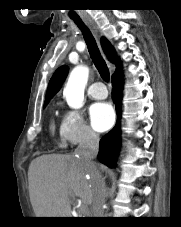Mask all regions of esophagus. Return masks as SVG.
Masks as SVG:
<instances>
[{
  "mask_svg": "<svg viewBox=\"0 0 181 227\" xmlns=\"http://www.w3.org/2000/svg\"><path fill=\"white\" fill-rule=\"evenodd\" d=\"M86 24H87L90 28L94 29V26H93V24H92V23H90V22H86Z\"/></svg>",
  "mask_w": 181,
  "mask_h": 227,
  "instance_id": "34e87169",
  "label": "esophagus"
}]
</instances>
